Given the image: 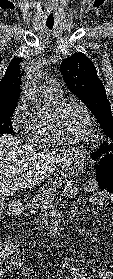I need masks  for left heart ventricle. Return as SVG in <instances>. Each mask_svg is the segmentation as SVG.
<instances>
[{"mask_svg":"<svg viewBox=\"0 0 113 279\" xmlns=\"http://www.w3.org/2000/svg\"><path fill=\"white\" fill-rule=\"evenodd\" d=\"M61 134L68 137L83 135L88 127V120L83 110L76 104L66 106L55 118Z\"/></svg>","mask_w":113,"mask_h":279,"instance_id":"1","label":"left heart ventricle"}]
</instances>
